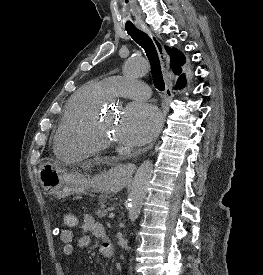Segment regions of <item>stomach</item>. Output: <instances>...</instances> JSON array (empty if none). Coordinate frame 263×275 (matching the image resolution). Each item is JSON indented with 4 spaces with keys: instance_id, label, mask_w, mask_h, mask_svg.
<instances>
[{
    "instance_id": "1",
    "label": "stomach",
    "mask_w": 263,
    "mask_h": 275,
    "mask_svg": "<svg viewBox=\"0 0 263 275\" xmlns=\"http://www.w3.org/2000/svg\"><path fill=\"white\" fill-rule=\"evenodd\" d=\"M39 180L48 194L60 199L90 189L101 193L117 192L125 186L126 175L122 168L116 166L88 177L78 171L69 172L60 164L45 162L40 167Z\"/></svg>"
}]
</instances>
